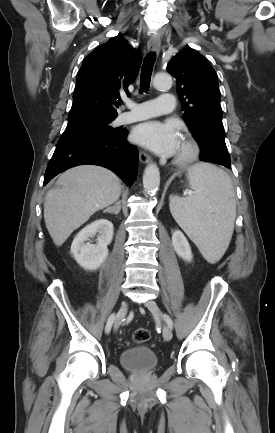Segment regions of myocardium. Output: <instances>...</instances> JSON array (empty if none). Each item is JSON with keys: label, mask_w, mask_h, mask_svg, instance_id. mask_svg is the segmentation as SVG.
Here are the masks:
<instances>
[{"label": "myocardium", "mask_w": 275, "mask_h": 433, "mask_svg": "<svg viewBox=\"0 0 275 433\" xmlns=\"http://www.w3.org/2000/svg\"><path fill=\"white\" fill-rule=\"evenodd\" d=\"M182 141L184 148L175 156L173 163L180 167H186L197 159L199 154V146L190 134H184Z\"/></svg>", "instance_id": "obj_1"}]
</instances>
